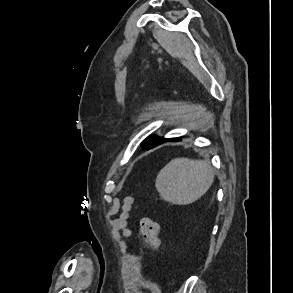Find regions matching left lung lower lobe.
Returning <instances> with one entry per match:
<instances>
[{"mask_svg":"<svg viewBox=\"0 0 293 293\" xmlns=\"http://www.w3.org/2000/svg\"><path fill=\"white\" fill-rule=\"evenodd\" d=\"M181 138H170V139H161L157 144H155L153 147L159 145L160 143L166 142V141H179ZM152 147V148H153Z\"/></svg>","mask_w":293,"mask_h":293,"instance_id":"left-lung-lower-lobe-1","label":"left lung lower lobe"}]
</instances>
